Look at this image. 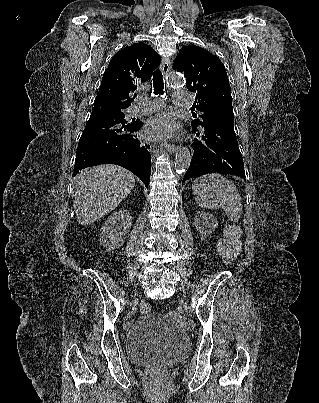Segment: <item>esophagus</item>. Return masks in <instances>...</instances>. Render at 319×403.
<instances>
[{"label": "esophagus", "instance_id": "esophagus-1", "mask_svg": "<svg viewBox=\"0 0 319 403\" xmlns=\"http://www.w3.org/2000/svg\"><path fill=\"white\" fill-rule=\"evenodd\" d=\"M162 73L166 76L170 70V60L168 58H163L160 65ZM165 148L169 153H175L178 146L170 143L165 144Z\"/></svg>", "mask_w": 319, "mask_h": 403}]
</instances>
